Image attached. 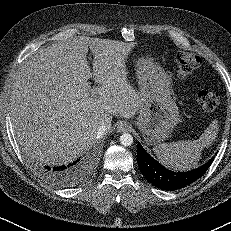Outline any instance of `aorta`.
Masks as SVG:
<instances>
[{
  "instance_id": "obj_1",
  "label": "aorta",
  "mask_w": 231,
  "mask_h": 231,
  "mask_svg": "<svg viewBox=\"0 0 231 231\" xmlns=\"http://www.w3.org/2000/svg\"><path fill=\"white\" fill-rule=\"evenodd\" d=\"M119 139L123 146H131L133 143V137L129 133H123Z\"/></svg>"
}]
</instances>
